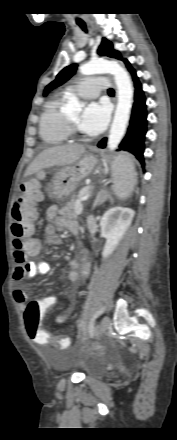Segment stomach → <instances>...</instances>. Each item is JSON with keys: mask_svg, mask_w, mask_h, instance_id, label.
Segmentation results:
<instances>
[{"mask_svg": "<svg viewBox=\"0 0 177 440\" xmlns=\"http://www.w3.org/2000/svg\"><path fill=\"white\" fill-rule=\"evenodd\" d=\"M115 162L122 167L125 164L124 156L117 157ZM97 163L98 159L94 155L87 154L74 164L58 169L47 187L48 196L55 200L68 197L78 183L93 171Z\"/></svg>", "mask_w": 177, "mask_h": 440, "instance_id": "0dacf381", "label": "stomach"}]
</instances>
